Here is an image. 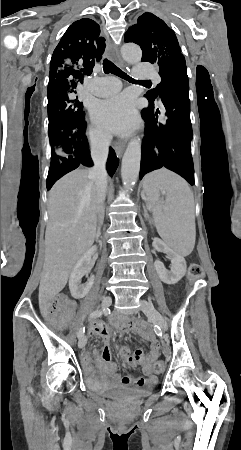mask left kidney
Segmentation results:
<instances>
[{"label":"left kidney","mask_w":241,"mask_h":450,"mask_svg":"<svg viewBox=\"0 0 241 450\" xmlns=\"http://www.w3.org/2000/svg\"><path fill=\"white\" fill-rule=\"evenodd\" d=\"M152 246L155 250H158V252H164V254H167V258L171 260L170 272L166 270L164 264H162L160 260H156L154 264L155 270L161 282H164V284H177V282L185 276L186 272V262L183 256H178V254H175V252L170 250V248H168L162 240H159V238H154Z\"/></svg>","instance_id":"5707ae66"}]
</instances>
